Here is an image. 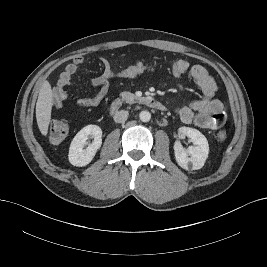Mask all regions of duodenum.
I'll return each instance as SVG.
<instances>
[{
	"instance_id": "1",
	"label": "duodenum",
	"mask_w": 267,
	"mask_h": 267,
	"mask_svg": "<svg viewBox=\"0 0 267 267\" xmlns=\"http://www.w3.org/2000/svg\"><path fill=\"white\" fill-rule=\"evenodd\" d=\"M139 102L142 104L147 105L148 107L158 110V111H165L166 110V106L160 102L158 99L154 98V97H143L139 99ZM125 104V101L123 99H116L114 100L111 105H110V113H116L117 111H119L122 106Z\"/></svg>"
}]
</instances>
